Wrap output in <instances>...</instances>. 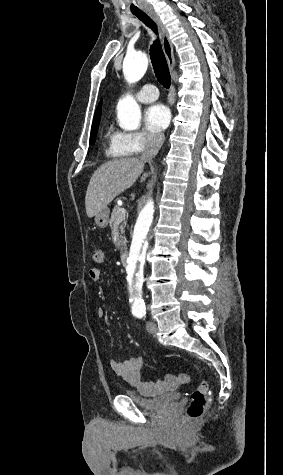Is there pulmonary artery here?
<instances>
[{"mask_svg": "<svg viewBox=\"0 0 283 475\" xmlns=\"http://www.w3.org/2000/svg\"><path fill=\"white\" fill-rule=\"evenodd\" d=\"M158 94L159 89L152 84H148L137 91L136 99L143 103H149L155 101Z\"/></svg>", "mask_w": 283, "mask_h": 475, "instance_id": "pulmonary-artery-1", "label": "pulmonary artery"}]
</instances>
